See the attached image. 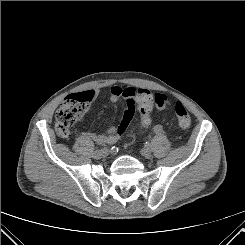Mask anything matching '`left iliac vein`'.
<instances>
[{
    "instance_id": "obj_1",
    "label": "left iliac vein",
    "mask_w": 245,
    "mask_h": 245,
    "mask_svg": "<svg viewBox=\"0 0 245 245\" xmlns=\"http://www.w3.org/2000/svg\"><path fill=\"white\" fill-rule=\"evenodd\" d=\"M141 155L145 158H150L152 156V153L148 148H144L141 150Z\"/></svg>"
}]
</instances>
